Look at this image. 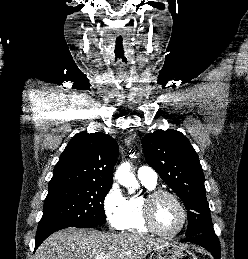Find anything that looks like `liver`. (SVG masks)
Listing matches in <instances>:
<instances>
[{"label": "liver", "mask_w": 248, "mask_h": 259, "mask_svg": "<svg viewBox=\"0 0 248 259\" xmlns=\"http://www.w3.org/2000/svg\"><path fill=\"white\" fill-rule=\"evenodd\" d=\"M168 243L140 233L116 234L97 230L67 228L49 236L34 259H144Z\"/></svg>", "instance_id": "6515ba94"}]
</instances>
